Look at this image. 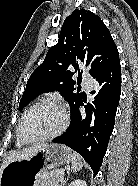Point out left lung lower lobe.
Wrapping results in <instances>:
<instances>
[{
    "label": "left lung lower lobe",
    "mask_w": 138,
    "mask_h": 186,
    "mask_svg": "<svg viewBox=\"0 0 138 186\" xmlns=\"http://www.w3.org/2000/svg\"><path fill=\"white\" fill-rule=\"evenodd\" d=\"M95 89L90 92L92 103L84 104V97L71 107V122L67 132L52 140L78 152L97 175L114 128V118L121 94L120 60H116L93 77ZM85 107L80 113L79 107Z\"/></svg>",
    "instance_id": "obj_1"
}]
</instances>
